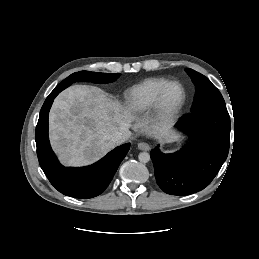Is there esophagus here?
<instances>
[{
    "instance_id": "34e87169",
    "label": "esophagus",
    "mask_w": 259,
    "mask_h": 259,
    "mask_svg": "<svg viewBox=\"0 0 259 259\" xmlns=\"http://www.w3.org/2000/svg\"><path fill=\"white\" fill-rule=\"evenodd\" d=\"M137 146H138V149H140L142 151H149L150 150V146L146 142H139Z\"/></svg>"
}]
</instances>
